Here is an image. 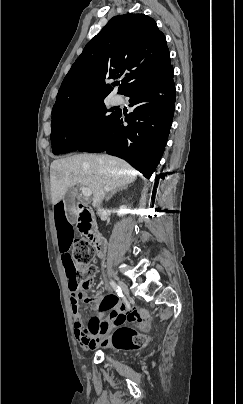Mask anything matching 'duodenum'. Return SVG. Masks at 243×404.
<instances>
[{
	"label": "duodenum",
	"mask_w": 243,
	"mask_h": 404,
	"mask_svg": "<svg viewBox=\"0 0 243 404\" xmlns=\"http://www.w3.org/2000/svg\"><path fill=\"white\" fill-rule=\"evenodd\" d=\"M78 214L79 231L93 242L97 256L99 258H104L106 254V241L96 230L95 223L88 207L79 204Z\"/></svg>",
	"instance_id": "obj_1"
}]
</instances>
